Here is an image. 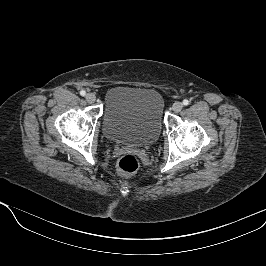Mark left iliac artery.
Returning a JSON list of instances; mask_svg holds the SVG:
<instances>
[{"instance_id": "44dca946", "label": "left iliac artery", "mask_w": 266, "mask_h": 266, "mask_svg": "<svg viewBox=\"0 0 266 266\" xmlns=\"http://www.w3.org/2000/svg\"><path fill=\"white\" fill-rule=\"evenodd\" d=\"M183 104H184L185 106H187V105L189 104V101H188L187 99H184V100H183Z\"/></svg>"}]
</instances>
